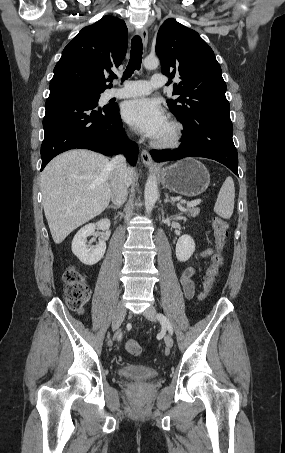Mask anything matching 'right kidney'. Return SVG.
Returning <instances> with one entry per match:
<instances>
[{
    "mask_svg": "<svg viewBox=\"0 0 285 453\" xmlns=\"http://www.w3.org/2000/svg\"><path fill=\"white\" fill-rule=\"evenodd\" d=\"M106 231L110 228V220L102 219L97 223H90L82 227L74 236L72 241L73 254L85 265H94L103 258L106 243L100 241L95 247L87 245V237L94 234L95 229Z\"/></svg>",
    "mask_w": 285,
    "mask_h": 453,
    "instance_id": "1",
    "label": "right kidney"
}]
</instances>
